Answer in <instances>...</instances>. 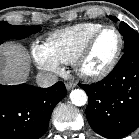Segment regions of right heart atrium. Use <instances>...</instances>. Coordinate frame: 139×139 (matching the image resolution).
I'll return each instance as SVG.
<instances>
[{
	"instance_id": "1",
	"label": "right heart atrium",
	"mask_w": 139,
	"mask_h": 139,
	"mask_svg": "<svg viewBox=\"0 0 139 139\" xmlns=\"http://www.w3.org/2000/svg\"><path fill=\"white\" fill-rule=\"evenodd\" d=\"M32 56L42 70L59 72L60 63L50 54L44 44L35 43L31 49Z\"/></svg>"
}]
</instances>
